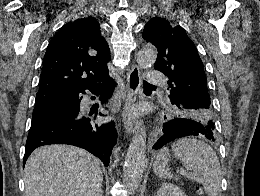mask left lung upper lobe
Wrapping results in <instances>:
<instances>
[{
	"label": "left lung upper lobe",
	"instance_id": "5c2ea615",
	"mask_svg": "<svg viewBox=\"0 0 260 196\" xmlns=\"http://www.w3.org/2000/svg\"><path fill=\"white\" fill-rule=\"evenodd\" d=\"M143 38L158 50L155 69L168 76L171 107L167 108V121L176 118L195 120L204 125L214 123V111L207 90L203 63L193 41L179 25L167 19L154 17L143 30Z\"/></svg>",
	"mask_w": 260,
	"mask_h": 196
}]
</instances>
